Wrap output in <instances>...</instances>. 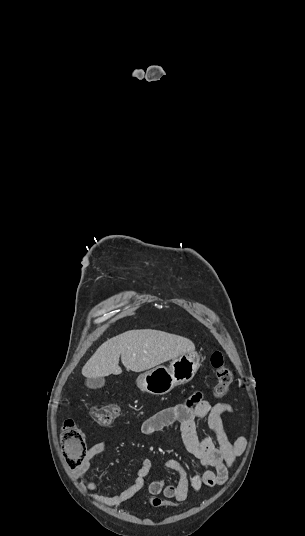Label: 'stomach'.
I'll list each match as a JSON object with an SVG mask.
<instances>
[{"mask_svg": "<svg viewBox=\"0 0 305 536\" xmlns=\"http://www.w3.org/2000/svg\"><path fill=\"white\" fill-rule=\"evenodd\" d=\"M200 366V356L197 352L182 354L172 360L169 368L157 366L150 372L138 376L136 384L142 392L163 396L171 392L175 386L187 384L194 378Z\"/></svg>", "mask_w": 305, "mask_h": 536, "instance_id": "0dacf381", "label": "stomach"}]
</instances>
